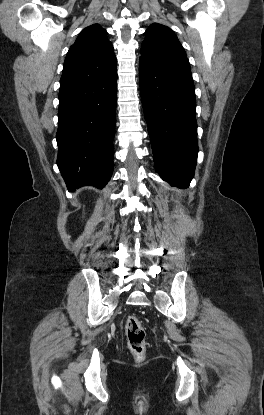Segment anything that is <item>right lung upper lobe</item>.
<instances>
[{
  "label": "right lung upper lobe",
  "mask_w": 264,
  "mask_h": 415,
  "mask_svg": "<svg viewBox=\"0 0 264 415\" xmlns=\"http://www.w3.org/2000/svg\"><path fill=\"white\" fill-rule=\"evenodd\" d=\"M116 71V57L107 32L94 24L82 30L70 47L64 62L60 88L98 81Z\"/></svg>",
  "instance_id": "1"
}]
</instances>
